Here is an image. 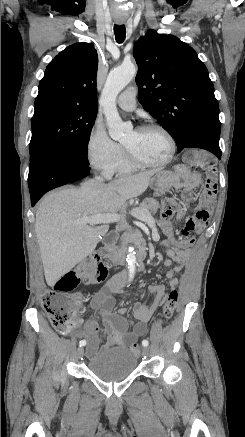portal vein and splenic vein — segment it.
<instances>
[{
	"label": "portal vein and splenic vein",
	"instance_id": "18ae733b",
	"mask_svg": "<svg viewBox=\"0 0 245 437\" xmlns=\"http://www.w3.org/2000/svg\"><path fill=\"white\" fill-rule=\"evenodd\" d=\"M131 215L134 217H137L140 220H146L147 218L151 217V215L146 212L142 214L141 216L138 215L136 208H133L131 210ZM124 218V214H118V213H110V214H96L87 218L76 220V223H85V224H98L103 222H118L119 220Z\"/></svg>",
	"mask_w": 245,
	"mask_h": 437
}]
</instances>
